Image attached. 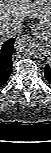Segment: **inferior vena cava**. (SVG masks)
Returning <instances> with one entry per match:
<instances>
[{"instance_id": "inferior-vena-cava-1", "label": "inferior vena cava", "mask_w": 51, "mask_h": 153, "mask_svg": "<svg viewBox=\"0 0 51 153\" xmlns=\"http://www.w3.org/2000/svg\"><path fill=\"white\" fill-rule=\"evenodd\" d=\"M23 26L21 23H17L15 26L9 29L2 30L0 33V43H3L7 40V38L15 37L22 32Z\"/></svg>"}]
</instances>
